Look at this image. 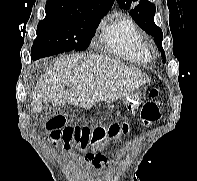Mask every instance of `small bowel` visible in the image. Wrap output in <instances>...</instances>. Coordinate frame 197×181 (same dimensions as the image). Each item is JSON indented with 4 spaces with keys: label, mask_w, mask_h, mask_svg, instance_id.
<instances>
[{
    "label": "small bowel",
    "mask_w": 197,
    "mask_h": 181,
    "mask_svg": "<svg viewBox=\"0 0 197 181\" xmlns=\"http://www.w3.org/2000/svg\"><path fill=\"white\" fill-rule=\"evenodd\" d=\"M103 160L104 158L102 155L96 153V151H92L87 154L85 159L83 160L79 159L78 162L84 166H93L95 168H100Z\"/></svg>",
    "instance_id": "c3829d8e"
}]
</instances>
